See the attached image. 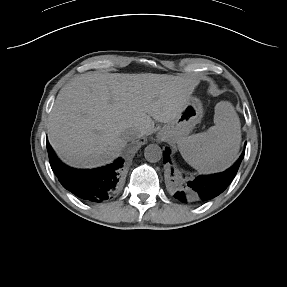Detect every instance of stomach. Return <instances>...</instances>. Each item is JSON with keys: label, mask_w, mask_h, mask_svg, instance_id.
Returning <instances> with one entry per match:
<instances>
[{"label": "stomach", "mask_w": 287, "mask_h": 287, "mask_svg": "<svg viewBox=\"0 0 287 287\" xmlns=\"http://www.w3.org/2000/svg\"><path fill=\"white\" fill-rule=\"evenodd\" d=\"M203 116L202 103L195 97H190L180 115L164 125L157 136L170 142H178L186 137Z\"/></svg>", "instance_id": "stomach-1"}]
</instances>
